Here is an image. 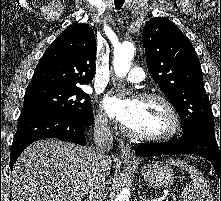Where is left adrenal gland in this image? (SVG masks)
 <instances>
[{
	"instance_id": "a2214340",
	"label": "left adrenal gland",
	"mask_w": 221,
	"mask_h": 201,
	"mask_svg": "<svg viewBox=\"0 0 221 201\" xmlns=\"http://www.w3.org/2000/svg\"><path fill=\"white\" fill-rule=\"evenodd\" d=\"M141 200H142V201H149V200L147 199L146 195H143V196L141 197Z\"/></svg>"
}]
</instances>
